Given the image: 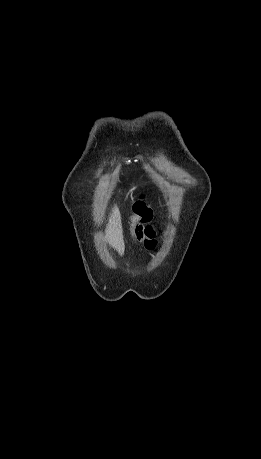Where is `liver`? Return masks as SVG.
Wrapping results in <instances>:
<instances>
[{
  "label": "liver",
  "instance_id": "6515ba94",
  "mask_svg": "<svg viewBox=\"0 0 261 459\" xmlns=\"http://www.w3.org/2000/svg\"><path fill=\"white\" fill-rule=\"evenodd\" d=\"M107 237L110 245L113 246L119 253H122L123 245L119 241L118 236L115 234V232L112 231V229L108 230Z\"/></svg>",
  "mask_w": 261,
  "mask_h": 459
}]
</instances>
